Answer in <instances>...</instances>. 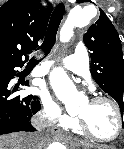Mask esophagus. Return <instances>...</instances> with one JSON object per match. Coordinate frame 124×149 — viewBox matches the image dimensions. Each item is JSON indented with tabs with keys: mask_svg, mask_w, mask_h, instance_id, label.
<instances>
[{
	"mask_svg": "<svg viewBox=\"0 0 124 149\" xmlns=\"http://www.w3.org/2000/svg\"><path fill=\"white\" fill-rule=\"evenodd\" d=\"M60 3L64 4L66 8H69V4L67 0H59ZM51 133L52 134H59L60 130L57 127H51Z\"/></svg>",
	"mask_w": 124,
	"mask_h": 149,
	"instance_id": "1",
	"label": "esophagus"
}]
</instances>
